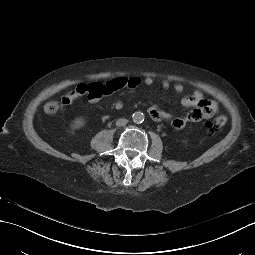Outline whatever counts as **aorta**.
I'll list each match as a JSON object with an SVG mask.
<instances>
[{
    "mask_svg": "<svg viewBox=\"0 0 255 255\" xmlns=\"http://www.w3.org/2000/svg\"><path fill=\"white\" fill-rule=\"evenodd\" d=\"M132 119H133V122L139 124V123H142L144 121V115L141 112H135L132 115Z\"/></svg>",
    "mask_w": 255,
    "mask_h": 255,
    "instance_id": "obj_1",
    "label": "aorta"
}]
</instances>
